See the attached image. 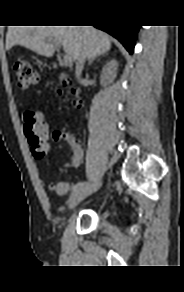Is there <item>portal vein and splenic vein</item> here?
<instances>
[{
  "mask_svg": "<svg viewBox=\"0 0 184 292\" xmlns=\"http://www.w3.org/2000/svg\"><path fill=\"white\" fill-rule=\"evenodd\" d=\"M54 44L56 47H60V44L58 42H54ZM63 61H64V64L67 65L71 62V59L68 55H64Z\"/></svg>",
  "mask_w": 184,
  "mask_h": 292,
  "instance_id": "obj_1",
  "label": "portal vein and splenic vein"
}]
</instances>
